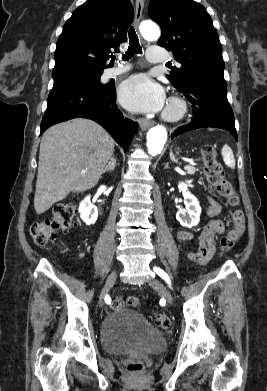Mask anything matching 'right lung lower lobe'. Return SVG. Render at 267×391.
I'll return each instance as SVG.
<instances>
[{
	"mask_svg": "<svg viewBox=\"0 0 267 391\" xmlns=\"http://www.w3.org/2000/svg\"><path fill=\"white\" fill-rule=\"evenodd\" d=\"M115 99L116 90L112 84L103 87L73 85L52 90L41 122V133L56 123L84 117L103 126L126 152L138 124L123 117Z\"/></svg>",
	"mask_w": 267,
	"mask_h": 391,
	"instance_id": "1",
	"label": "right lung lower lobe"
}]
</instances>
